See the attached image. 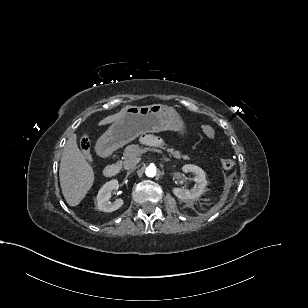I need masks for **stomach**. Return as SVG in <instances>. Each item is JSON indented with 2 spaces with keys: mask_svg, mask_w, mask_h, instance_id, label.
Segmentation results:
<instances>
[{
  "mask_svg": "<svg viewBox=\"0 0 308 308\" xmlns=\"http://www.w3.org/2000/svg\"><path fill=\"white\" fill-rule=\"evenodd\" d=\"M166 130L185 134L184 121L173 107L162 104L132 106L98 139L97 148L102 153L110 152L141 134Z\"/></svg>",
  "mask_w": 308,
  "mask_h": 308,
  "instance_id": "0dacf381",
  "label": "stomach"
}]
</instances>
